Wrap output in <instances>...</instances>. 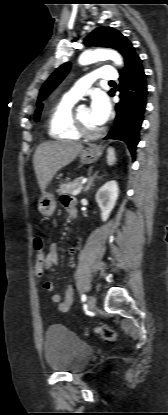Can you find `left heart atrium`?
Wrapping results in <instances>:
<instances>
[{"instance_id":"39dd6f15","label":"left heart atrium","mask_w":168,"mask_h":415,"mask_svg":"<svg viewBox=\"0 0 168 415\" xmlns=\"http://www.w3.org/2000/svg\"><path fill=\"white\" fill-rule=\"evenodd\" d=\"M89 109L92 121L98 126L103 125L107 121L111 109L107 96L101 91L95 92L92 95Z\"/></svg>"}]
</instances>
